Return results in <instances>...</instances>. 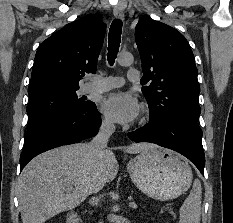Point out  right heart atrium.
Here are the masks:
<instances>
[{
	"label": "right heart atrium",
	"instance_id": "d8ad5b80",
	"mask_svg": "<svg viewBox=\"0 0 233 223\" xmlns=\"http://www.w3.org/2000/svg\"><path fill=\"white\" fill-rule=\"evenodd\" d=\"M101 126L108 131H112L115 128L113 121L107 117L102 119Z\"/></svg>",
	"mask_w": 233,
	"mask_h": 223
}]
</instances>
